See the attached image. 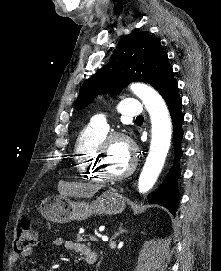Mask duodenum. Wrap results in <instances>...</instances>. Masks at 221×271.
I'll return each instance as SVG.
<instances>
[{
  "instance_id": "duodenum-1",
  "label": "duodenum",
  "mask_w": 221,
  "mask_h": 271,
  "mask_svg": "<svg viewBox=\"0 0 221 271\" xmlns=\"http://www.w3.org/2000/svg\"><path fill=\"white\" fill-rule=\"evenodd\" d=\"M97 259H98L97 253L93 252L92 254H90V255L86 258V261H87V263H89V264H94V263L97 262Z\"/></svg>"
}]
</instances>
